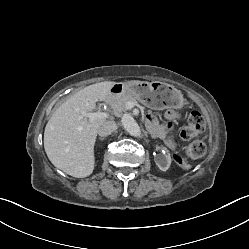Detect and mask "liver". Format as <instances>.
<instances>
[{"instance_id": "1", "label": "liver", "mask_w": 249, "mask_h": 249, "mask_svg": "<svg viewBox=\"0 0 249 249\" xmlns=\"http://www.w3.org/2000/svg\"><path fill=\"white\" fill-rule=\"evenodd\" d=\"M116 84L104 81L85 87L68 98L51 116L44 131V149L51 163L76 178L89 176L95 166L94 144L105 121L82 115L95 109L97 101L111 96Z\"/></svg>"}]
</instances>
